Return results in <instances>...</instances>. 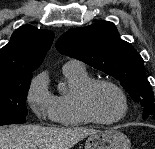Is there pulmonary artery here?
Listing matches in <instances>:
<instances>
[{"label":"pulmonary artery","instance_id":"1","mask_svg":"<svg viewBox=\"0 0 155 149\" xmlns=\"http://www.w3.org/2000/svg\"><path fill=\"white\" fill-rule=\"evenodd\" d=\"M83 67V64L76 60H70L65 63L63 68ZM84 68V67H83Z\"/></svg>","mask_w":155,"mask_h":149}]
</instances>
